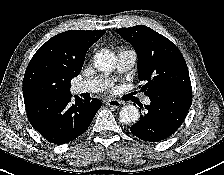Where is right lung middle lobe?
<instances>
[{"instance_id": "dd1d6c3e", "label": "right lung middle lobe", "mask_w": 224, "mask_h": 175, "mask_svg": "<svg viewBox=\"0 0 224 175\" xmlns=\"http://www.w3.org/2000/svg\"><path fill=\"white\" fill-rule=\"evenodd\" d=\"M61 93L69 94L70 91L69 90L60 91L59 89L52 87V86L47 88V94H49V95H55V94H61Z\"/></svg>"}]
</instances>
